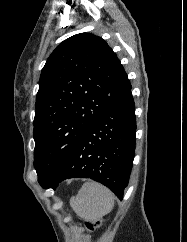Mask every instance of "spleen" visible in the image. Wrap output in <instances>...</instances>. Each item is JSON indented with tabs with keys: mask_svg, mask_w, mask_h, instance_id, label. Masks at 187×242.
Returning a JSON list of instances; mask_svg holds the SVG:
<instances>
[{
	"mask_svg": "<svg viewBox=\"0 0 187 242\" xmlns=\"http://www.w3.org/2000/svg\"><path fill=\"white\" fill-rule=\"evenodd\" d=\"M70 204L79 217L96 220L113 209L114 195L100 183L89 181L70 200Z\"/></svg>",
	"mask_w": 187,
	"mask_h": 242,
	"instance_id": "spleen-1",
	"label": "spleen"
}]
</instances>
